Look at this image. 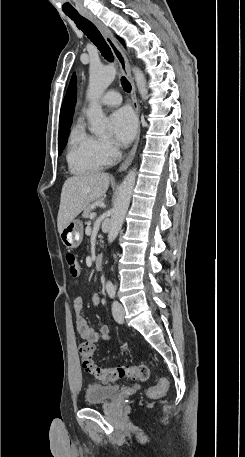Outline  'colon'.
I'll list each match as a JSON object with an SVG mask.
<instances>
[{
  "instance_id": "5ec220e1",
  "label": "colon",
  "mask_w": 245,
  "mask_h": 457,
  "mask_svg": "<svg viewBox=\"0 0 245 457\" xmlns=\"http://www.w3.org/2000/svg\"><path fill=\"white\" fill-rule=\"evenodd\" d=\"M66 262L69 273L73 277L80 274V265L75 254L67 253ZM79 356L83 370L103 382H115L128 377L134 380L146 381L149 378L150 370L144 365H127L115 367H99L94 361L95 345L90 341L82 342L78 347ZM168 381L165 378L159 380L158 385L148 389L149 396L164 394L168 389Z\"/></svg>"
}]
</instances>
